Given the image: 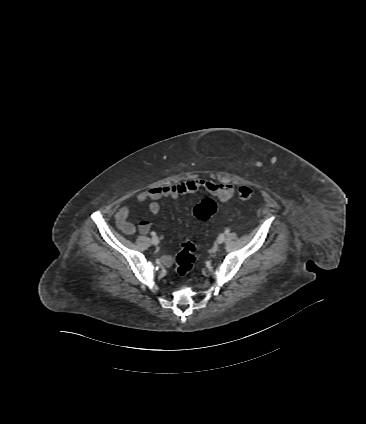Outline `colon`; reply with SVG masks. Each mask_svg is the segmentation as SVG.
I'll return each mask as SVG.
<instances>
[{
    "label": "colon",
    "mask_w": 366,
    "mask_h": 424,
    "mask_svg": "<svg viewBox=\"0 0 366 424\" xmlns=\"http://www.w3.org/2000/svg\"><path fill=\"white\" fill-rule=\"evenodd\" d=\"M238 196L241 201H248L253 196L252 188L248 186H241L238 190ZM216 203L209 198L203 199L194 208V216L200 221L209 219L215 212ZM195 251L196 244L193 236L190 235L180 246V250L176 256V273L180 277L188 275L195 265Z\"/></svg>",
    "instance_id": "obj_1"
}]
</instances>
